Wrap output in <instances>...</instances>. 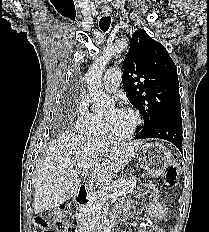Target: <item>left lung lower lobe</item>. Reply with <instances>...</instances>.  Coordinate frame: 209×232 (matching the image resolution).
<instances>
[{
	"label": "left lung lower lobe",
	"instance_id": "left-lung-lower-lobe-1",
	"mask_svg": "<svg viewBox=\"0 0 209 232\" xmlns=\"http://www.w3.org/2000/svg\"><path fill=\"white\" fill-rule=\"evenodd\" d=\"M136 139L158 138L173 143L182 152L181 112L164 117L148 130L136 133Z\"/></svg>",
	"mask_w": 209,
	"mask_h": 232
}]
</instances>
